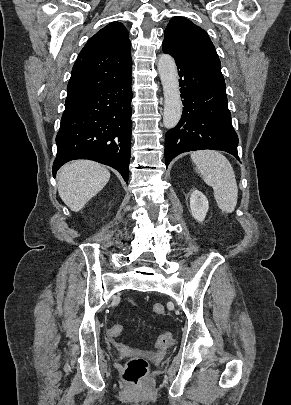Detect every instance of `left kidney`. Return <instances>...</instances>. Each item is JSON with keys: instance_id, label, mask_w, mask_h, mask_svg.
Returning <instances> with one entry per match:
<instances>
[{"instance_id": "left-kidney-1", "label": "left kidney", "mask_w": 291, "mask_h": 405, "mask_svg": "<svg viewBox=\"0 0 291 405\" xmlns=\"http://www.w3.org/2000/svg\"><path fill=\"white\" fill-rule=\"evenodd\" d=\"M190 208L192 216L198 222H202L209 209V203L206 196L202 192L194 190L190 196Z\"/></svg>"}]
</instances>
